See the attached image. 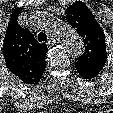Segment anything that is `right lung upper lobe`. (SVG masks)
<instances>
[{"label":"right lung upper lobe","mask_w":113,"mask_h":113,"mask_svg":"<svg viewBox=\"0 0 113 113\" xmlns=\"http://www.w3.org/2000/svg\"><path fill=\"white\" fill-rule=\"evenodd\" d=\"M21 8L13 10L3 43V54L7 68L24 83L35 84L44 73V44L38 43L33 35L17 23Z\"/></svg>","instance_id":"1"}]
</instances>
